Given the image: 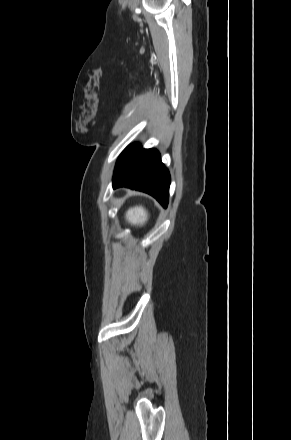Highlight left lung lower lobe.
Masks as SVG:
<instances>
[{
  "label": "left lung lower lobe",
  "instance_id": "1",
  "mask_svg": "<svg viewBox=\"0 0 291 440\" xmlns=\"http://www.w3.org/2000/svg\"><path fill=\"white\" fill-rule=\"evenodd\" d=\"M169 185V172L155 149H143L139 144H132L118 158L113 188L125 186L146 192L167 207Z\"/></svg>",
  "mask_w": 291,
  "mask_h": 440
}]
</instances>
